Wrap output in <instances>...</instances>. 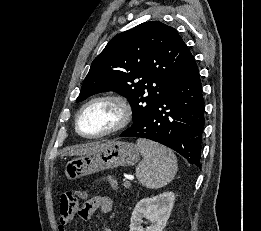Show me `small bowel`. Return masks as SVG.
Returning a JSON list of instances; mask_svg holds the SVG:
<instances>
[{"instance_id":"small-bowel-1","label":"small bowel","mask_w":261,"mask_h":231,"mask_svg":"<svg viewBox=\"0 0 261 231\" xmlns=\"http://www.w3.org/2000/svg\"><path fill=\"white\" fill-rule=\"evenodd\" d=\"M109 177L99 178L97 181H106ZM81 198L86 199L82 207L78 211V215L83 220H88L95 213L106 214L112 210V200L107 196H94L88 198L86 192L80 191ZM69 222L68 219L59 217V231H65V225ZM103 231H112L110 228L105 227Z\"/></svg>"}]
</instances>
